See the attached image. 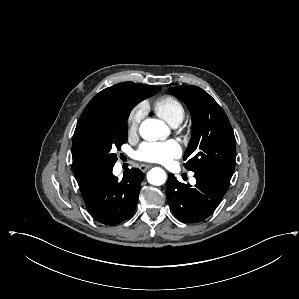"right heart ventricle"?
<instances>
[{
  "instance_id": "right-heart-ventricle-1",
  "label": "right heart ventricle",
  "mask_w": 299,
  "mask_h": 299,
  "mask_svg": "<svg viewBox=\"0 0 299 299\" xmlns=\"http://www.w3.org/2000/svg\"><path fill=\"white\" fill-rule=\"evenodd\" d=\"M155 112L170 125H179L185 116L184 106L179 99L164 95L153 103Z\"/></svg>"
}]
</instances>
